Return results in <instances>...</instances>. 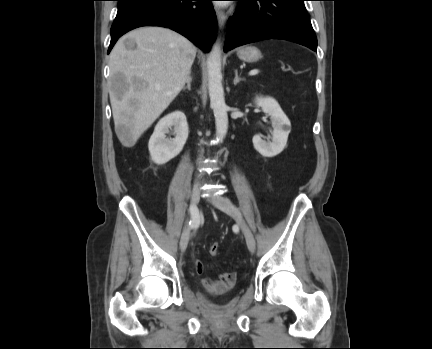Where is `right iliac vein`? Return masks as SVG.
Listing matches in <instances>:
<instances>
[{
	"instance_id": "63e3f726",
	"label": "right iliac vein",
	"mask_w": 432,
	"mask_h": 349,
	"mask_svg": "<svg viewBox=\"0 0 432 349\" xmlns=\"http://www.w3.org/2000/svg\"><path fill=\"white\" fill-rule=\"evenodd\" d=\"M200 200V191L199 189L195 188L192 191L191 194V206L190 207H196L197 204L199 203ZM196 220H195V224L197 225L199 222V213L198 210H196ZM190 214L192 215L191 211ZM193 220V219H192ZM189 237H190V226L188 224L185 225L181 239H180V249L182 251H184L187 247L188 241H189Z\"/></svg>"
}]
</instances>
